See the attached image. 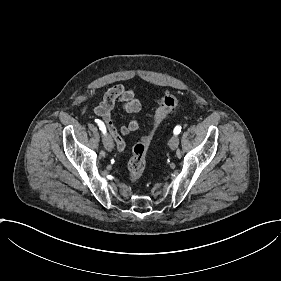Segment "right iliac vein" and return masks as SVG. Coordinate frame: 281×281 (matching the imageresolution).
<instances>
[{
  "instance_id": "obj_1",
  "label": "right iliac vein",
  "mask_w": 281,
  "mask_h": 281,
  "mask_svg": "<svg viewBox=\"0 0 281 281\" xmlns=\"http://www.w3.org/2000/svg\"><path fill=\"white\" fill-rule=\"evenodd\" d=\"M102 140L105 145L106 151H108V152L113 151L114 143L112 142V137L110 135H108L106 138H102Z\"/></svg>"
}]
</instances>
